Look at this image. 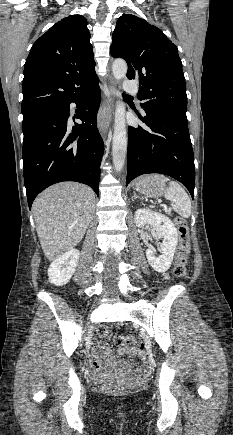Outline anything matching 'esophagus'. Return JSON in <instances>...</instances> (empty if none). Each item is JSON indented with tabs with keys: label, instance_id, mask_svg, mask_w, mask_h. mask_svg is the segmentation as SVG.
I'll return each mask as SVG.
<instances>
[{
	"label": "esophagus",
	"instance_id": "obj_1",
	"mask_svg": "<svg viewBox=\"0 0 233 435\" xmlns=\"http://www.w3.org/2000/svg\"><path fill=\"white\" fill-rule=\"evenodd\" d=\"M108 88L110 92V99L100 108L97 116L98 129L104 139L110 130V119L116 94L115 81L112 78L109 80Z\"/></svg>",
	"mask_w": 233,
	"mask_h": 435
}]
</instances>
